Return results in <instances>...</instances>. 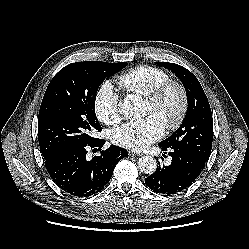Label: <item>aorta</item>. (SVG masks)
Instances as JSON below:
<instances>
[{"label":"aorta","instance_id":"762f6f07","mask_svg":"<svg viewBox=\"0 0 249 249\" xmlns=\"http://www.w3.org/2000/svg\"><path fill=\"white\" fill-rule=\"evenodd\" d=\"M141 100L136 95H128L119 102V110L126 117L138 116L141 108ZM138 168L145 174H153L157 169V161L154 157L146 155L139 158Z\"/></svg>","mask_w":249,"mask_h":249}]
</instances>
